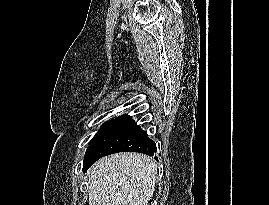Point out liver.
I'll list each match as a JSON object with an SVG mask.
<instances>
[{
  "label": "liver",
  "mask_w": 269,
  "mask_h": 205,
  "mask_svg": "<svg viewBox=\"0 0 269 205\" xmlns=\"http://www.w3.org/2000/svg\"><path fill=\"white\" fill-rule=\"evenodd\" d=\"M157 164L139 153H119L97 161L88 171L89 205H148Z\"/></svg>",
  "instance_id": "obj_1"
}]
</instances>
